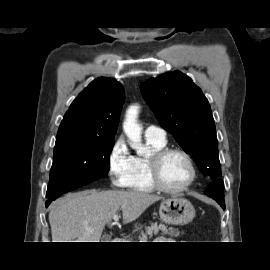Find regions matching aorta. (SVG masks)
<instances>
[{"label":"aorta","mask_w":270,"mask_h":270,"mask_svg":"<svg viewBox=\"0 0 270 270\" xmlns=\"http://www.w3.org/2000/svg\"><path fill=\"white\" fill-rule=\"evenodd\" d=\"M138 114L139 106L132 105L128 108L123 123V130L130 141V146L136 150L137 155L144 156L148 153V149L141 143L142 127L137 122Z\"/></svg>","instance_id":"aorta-1"}]
</instances>
